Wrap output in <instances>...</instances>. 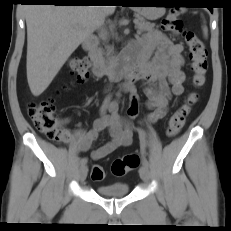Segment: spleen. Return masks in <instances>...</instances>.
<instances>
[{
    "label": "spleen",
    "instance_id": "spleen-1",
    "mask_svg": "<svg viewBox=\"0 0 231 231\" xmlns=\"http://www.w3.org/2000/svg\"><path fill=\"white\" fill-rule=\"evenodd\" d=\"M203 32H204V35L207 36V33H208L207 27L203 28Z\"/></svg>",
    "mask_w": 231,
    "mask_h": 231
}]
</instances>
